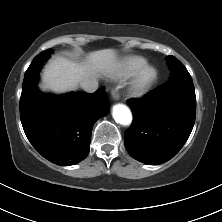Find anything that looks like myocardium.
<instances>
[{"label": "myocardium", "instance_id": "1", "mask_svg": "<svg viewBox=\"0 0 222 222\" xmlns=\"http://www.w3.org/2000/svg\"><path fill=\"white\" fill-rule=\"evenodd\" d=\"M157 76L156 68L150 64L143 65L136 73L131 82L132 95H142L154 82Z\"/></svg>", "mask_w": 222, "mask_h": 222}]
</instances>
